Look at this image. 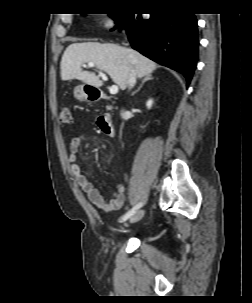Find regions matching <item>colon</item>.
Wrapping results in <instances>:
<instances>
[{
    "label": "colon",
    "mask_w": 252,
    "mask_h": 303,
    "mask_svg": "<svg viewBox=\"0 0 252 303\" xmlns=\"http://www.w3.org/2000/svg\"><path fill=\"white\" fill-rule=\"evenodd\" d=\"M60 121L63 124H71L73 122V115L68 107L62 108L60 112Z\"/></svg>",
    "instance_id": "colon-1"
}]
</instances>
